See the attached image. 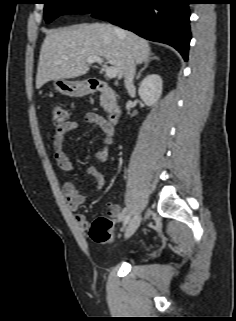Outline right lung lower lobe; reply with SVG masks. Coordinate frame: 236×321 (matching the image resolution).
<instances>
[{"instance_id": "obj_1", "label": "right lung lower lobe", "mask_w": 236, "mask_h": 321, "mask_svg": "<svg viewBox=\"0 0 236 321\" xmlns=\"http://www.w3.org/2000/svg\"><path fill=\"white\" fill-rule=\"evenodd\" d=\"M190 0H111L92 13L139 36L169 44L185 61L188 59L191 33Z\"/></svg>"}]
</instances>
